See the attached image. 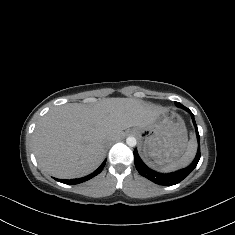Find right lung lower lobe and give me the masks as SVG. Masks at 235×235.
Masks as SVG:
<instances>
[{
    "label": "right lung lower lobe",
    "instance_id": "right-lung-lower-lobe-1",
    "mask_svg": "<svg viewBox=\"0 0 235 235\" xmlns=\"http://www.w3.org/2000/svg\"><path fill=\"white\" fill-rule=\"evenodd\" d=\"M104 166H105V161L102 163V165L96 171H94L90 175H88L86 177H83V178L70 179V180H62V179H55V180H57V181H59L61 183L70 184V185L79 184V183L85 182V181L93 178L94 176L98 175L102 171Z\"/></svg>",
    "mask_w": 235,
    "mask_h": 235
}]
</instances>
